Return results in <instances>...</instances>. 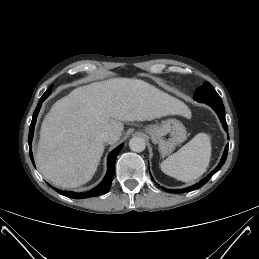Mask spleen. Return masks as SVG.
Masks as SVG:
<instances>
[{"instance_id":"obj_1","label":"spleen","mask_w":259,"mask_h":259,"mask_svg":"<svg viewBox=\"0 0 259 259\" xmlns=\"http://www.w3.org/2000/svg\"><path fill=\"white\" fill-rule=\"evenodd\" d=\"M211 138L199 133L176 153L164 160L160 167L165 174L191 182L206 172L211 159Z\"/></svg>"}]
</instances>
